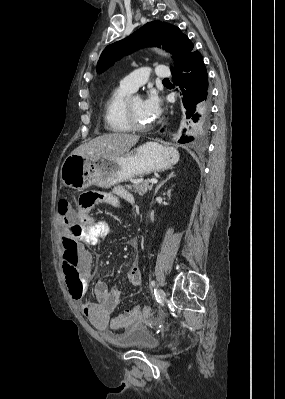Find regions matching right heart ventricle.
Instances as JSON below:
<instances>
[{"mask_svg":"<svg viewBox=\"0 0 285 399\" xmlns=\"http://www.w3.org/2000/svg\"><path fill=\"white\" fill-rule=\"evenodd\" d=\"M129 94V90L118 86L106 99L104 104V121L109 131L114 133H127L131 131L125 114L126 97Z\"/></svg>","mask_w":285,"mask_h":399,"instance_id":"e07e8e85","label":"right heart ventricle"}]
</instances>
